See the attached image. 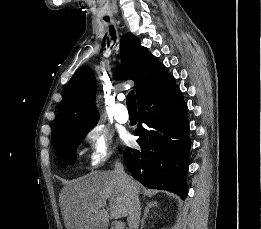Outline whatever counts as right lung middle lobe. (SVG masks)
I'll return each mask as SVG.
<instances>
[{
	"label": "right lung middle lobe",
	"mask_w": 261,
	"mask_h": 229,
	"mask_svg": "<svg viewBox=\"0 0 261 229\" xmlns=\"http://www.w3.org/2000/svg\"><path fill=\"white\" fill-rule=\"evenodd\" d=\"M95 126L92 125H80L70 126L62 129L64 135V141L57 147L58 163L61 167L66 164H74L76 157L75 152L79 143L83 140L85 135Z\"/></svg>",
	"instance_id": "obj_1"
}]
</instances>
